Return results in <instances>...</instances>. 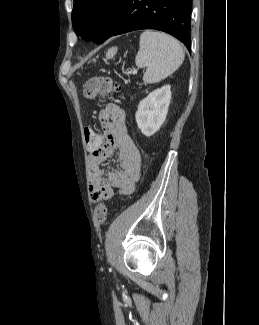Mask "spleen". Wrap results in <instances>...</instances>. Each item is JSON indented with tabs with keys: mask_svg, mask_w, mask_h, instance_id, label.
I'll return each instance as SVG.
<instances>
[{
	"mask_svg": "<svg viewBox=\"0 0 259 325\" xmlns=\"http://www.w3.org/2000/svg\"><path fill=\"white\" fill-rule=\"evenodd\" d=\"M184 51L172 36L146 30L140 35L139 51L135 58L137 67H146L143 81L157 83L175 72L184 61Z\"/></svg>",
	"mask_w": 259,
	"mask_h": 325,
	"instance_id": "3e777b00",
	"label": "spleen"
}]
</instances>
